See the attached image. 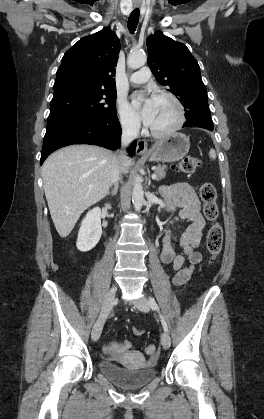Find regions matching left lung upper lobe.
I'll list each match as a JSON object with an SVG mask.
<instances>
[{"mask_svg": "<svg viewBox=\"0 0 264 419\" xmlns=\"http://www.w3.org/2000/svg\"><path fill=\"white\" fill-rule=\"evenodd\" d=\"M148 65L156 80L176 95L185 111L208 103L200 67L189 49L157 31L147 39Z\"/></svg>", "mask_w": 264, "mask_h": 419, "instance_id": "5c2ea615", "label": "left lung upper lobe"}]
</instances>
